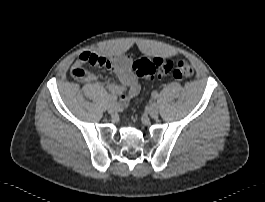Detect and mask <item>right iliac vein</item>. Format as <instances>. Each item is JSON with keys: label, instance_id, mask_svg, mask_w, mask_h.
<instances>
[{"label": "right iliac vein", "instance_id": "obj_1", "mask_svg": "<svg viewBox=\"0 0 265 202\" xmlns=\"http://www.w3.org/2000/svg\"><path fill=\"white\" fill-rule=\"evenodd\" d=\"M118 108H119L118 104L116 102H112L108 105L107 110L108 113L112 115L118 112Z\"/></svg>", "mask_w": 265, "mask_h": 202}]
</instances>
